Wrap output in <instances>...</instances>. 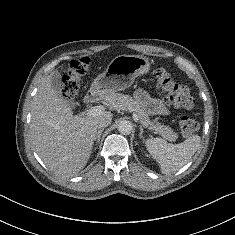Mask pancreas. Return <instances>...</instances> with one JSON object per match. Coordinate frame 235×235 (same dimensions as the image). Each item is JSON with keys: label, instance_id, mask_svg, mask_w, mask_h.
<instances>
[{"label": "pancreas", "instance_id": "1", "mask_svg": "<svg viewBox=\"0 0 235 235\" xmlns=\"http://www.w3.org/2000/svg\"><path fill=\"white\" fill-rule=\"evenodd\" d=\"M105 101L114 109L135 112L140 123L144 127H148L150 130L154 131V133L161 135L165 139L175 141L178 138L177 133H175L169 126L161 125L159 122L154 123L150 121L148 114L129 95L111 92L105 96Z\"/></svg>", "mask_w": 235, "mask_h": 235}]
</instances>
